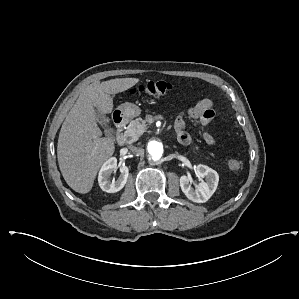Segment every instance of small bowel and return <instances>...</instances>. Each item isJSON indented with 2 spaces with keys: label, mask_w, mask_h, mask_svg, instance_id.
<instances>
[{
  "label": "small bowel",
  "mask_w": 299,
  "mask_h": 299,
  "mask_svg": "<svg viewBox=\"0 0 299 299\" xmlns=\"http://www.w3.org/2000/svg\"><path fill=\"white\" fill-rule=\"evenodd\" d=\"M188 115L190 118L197 120L201 125L209 124L214 116V103L209 98H204L198 101L194 106L189 108ZM176 136L179 143L183 145L189 144L191 138L188 132L185 130V121L182 117H178L175 122ZM205 142L209 145L215 143L214 137L209 132L203 133Z\"/></svg>",
  "instance_id": "obj_1"
}]
</instances>
